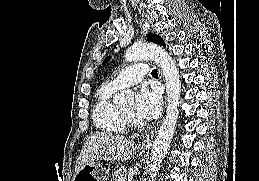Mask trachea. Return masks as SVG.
I'll list each match as a JSON object with an SVG mask.
<instances>
[{
  "label": "trachea",
  "mask_w": 259,
  "mask_h": 181,
  "mask_svg": "<svg viewBox=\"0 0 259 181\" xmlns=\"http://www.w3.org/2000/svg\"><path fill=\"white\" fill-rule=\"evenodd\" d=\"M151 74L152 76H157L158 75L157 69H153Z\"/></svg>",
  "instance_id": "3493384b"
}]
</instances>
